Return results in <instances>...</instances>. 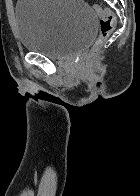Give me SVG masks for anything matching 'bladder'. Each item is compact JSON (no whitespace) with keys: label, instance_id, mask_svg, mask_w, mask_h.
<instances>
[{"label":"bladder","instance_id":"obj_1","mask_svg":"<svg viewBox=\"0 0 140 196\" xmlns=\"http://www.w3.org/2000/svg\"><path fill=\"white\" fill-rule=\"evenodd\" d=\"M14 10L23 48L50 59L85 50L97 34V12L83 0H18Z\"/></svg>","mask_w":140,"mask_h":196}]
</instances>
